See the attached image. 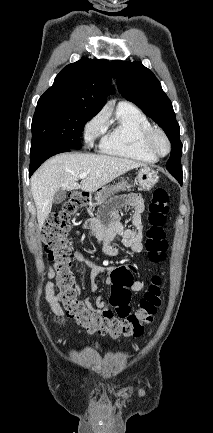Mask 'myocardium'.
Masks as SVG:
<instances>
[{
    "mask_svg": "<svg viewBox=\"0 0 213 433\" xmlns=\"http://www.w3.org/2000/svg\"><path fill=\"white\" fill-rule=\"evenodd\" d=\"M158 137H161L166 143V150L162 152L156 143ZM143 145L144 147L156 157H165L172 150V143L169 136L164 130L158 127H151L146 130L143 134Z\"/></svg>",
    "mask_w": 213,
    "mask_h": 433,
    "instance_id": "1",
    "label": "myocardium"
}]
</instances>
